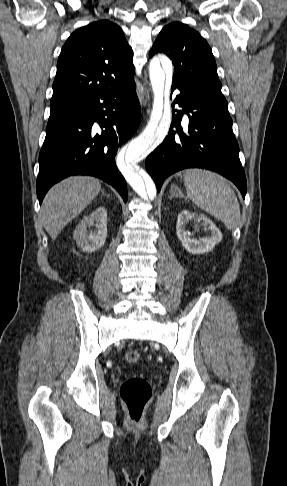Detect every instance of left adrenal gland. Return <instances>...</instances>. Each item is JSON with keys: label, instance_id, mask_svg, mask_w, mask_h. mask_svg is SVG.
<instances>
[{"label": "left adrenal gland", "instance_id": "left-adrenal-gland-1", "mask_svg": "<svg viewBox=\"0 0 287 486\" xmlns=\"http://www.w3.org/2000/svg\"><path fill=\"white\" fill-rule=\"evenodd\" d=\"M173 197L186 198L183 195L182 191L176 185H174V184L170 188V196H169V198L172 199Z\"/></svg>", "mask_w": 287, "mask_h": 486}]
</instances>
